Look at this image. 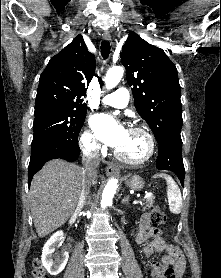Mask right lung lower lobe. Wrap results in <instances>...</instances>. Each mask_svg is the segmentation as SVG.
<instances>
[{"label": "right lung lower lobe", "instance_id": "98d812e1", "mask_svg": "<svg viewBox=\"0 0 221 278\" xmlns=\"http://www.w3.org/2000/svg\"><path fill=\"white\" fill-rule=\"evenodd\" d=\"M79 153L80 148L78 140L69 136L48 137L32 145L28 167V183L31 182L34 174L37 173L47 161L55 158L75 161Z\"/></svg>", "mask_w": 221, "mask_h": 278}]
</instances>
